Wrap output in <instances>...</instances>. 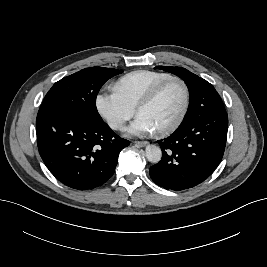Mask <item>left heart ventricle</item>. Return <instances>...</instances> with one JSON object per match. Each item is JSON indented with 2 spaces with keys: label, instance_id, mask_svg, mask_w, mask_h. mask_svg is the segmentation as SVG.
<instances>
[{
  "label": "left heart ventricle",
  "instance_id": "obj_1",
  "mask_svg": "<svg viewBox=\"0 0 267 267\" xmlns=\"http://www.w3.org/2000/svg\"><path fill=\"white\" fill-rule=\"evenodd\" d=\"M184 102V90L179 82L171 81L160 91L157 98L139 111L155 130L167 127L179 116Z\"/></svg>",
  "mask_w": 267,
  "mask_h": 267
}]
</instances>
